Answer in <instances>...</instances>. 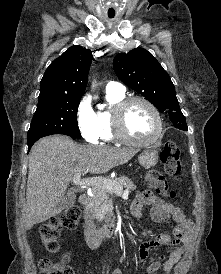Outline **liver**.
<instances>
[{
	"label": "liver",
	"instance_id": "liver-1",
	"mask_svg": "<svg viewBox=\"0 0 221 274\" xmlns=\"http://www.w3.org/2000/svg\"><path fill=\"white\" fill-rule=\"evenodd\" d=\"M137 152L110 146H83L60 135L36 142L29 156L25 228L29 230L62 211L60 202L76 173H106L127 163Z\"/></svg>",
	"mask_w": 221,
	"mask_h": 274
}]
</instances>
